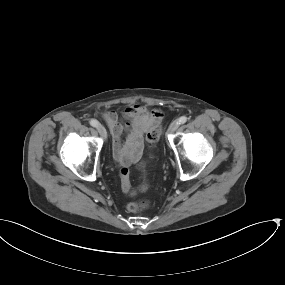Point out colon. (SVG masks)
<instances>
[{
  "instance_id": "1",
  "label": "colon",
  "mask_w": 285,
  "mask_h": 285,
  "mask_svg": "<svg viewBox=\"0 0 285 285\" xmlns=\"http://www.w3.org/2000/svg\"><path fill=\"white\" fill-rule=\"evenodd\" d=\"M159 138H160V130L158 128L150 130L146 135V142L148 147L150 148L153 147ZM120 178H121L122 188L124 190L130 189L129 169L127 167H122L120 169ZM140 188L141 190H145L147 188L146 180H144ZM149 205L150 203L148 200L133 201L127 204L126 209L130 213L137 214L147 210L149 208Z\"/></svg>"
}]
</instances>
